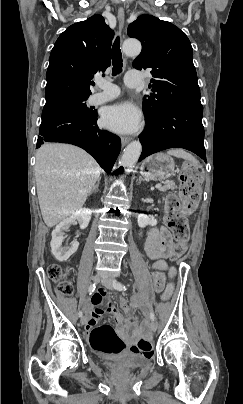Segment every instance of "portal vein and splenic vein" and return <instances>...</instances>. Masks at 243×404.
<instances>
[{
    "label": "portal vein and splenic vein",
    "instance_id": "obj_1",
    "mask_svg": "<svg viewBox=\"0 0 243 404\" xmlns=\"http://www.w3.org/2000/svg\"><path fill=\"white\" fill-rule=\"evenodd\" d=\"M155 188H161V184H157V186H155Z\"/></svg>",
    "mask_w": 243,
    "mask_h": 404
}]
</instances>
